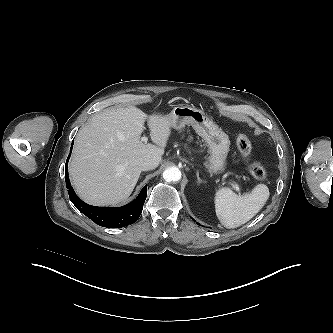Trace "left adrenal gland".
<instances>
[{
	"instance_id": "1",
	"label": "left adrenal gland",
	"mask_w": 333,
	"mask_h": 333,
	"mask_svg": "<svg viewBox=\"0 0 333 333\" xmlns=\"http://www.w3.org/2000/svg\"><path fill=\"white\" fill-rule=\"evenodd\" d=\"M196 176H197V182L200 184V183H205L204 180H201L200 177H199V171L196 172Z\"/></svg>"
}]
</instances>
